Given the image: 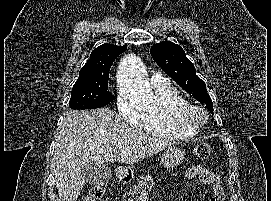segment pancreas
Wrapping results in <instances>:
<instances>
[{"instance_id":"pancreas-1","label":"pancreas","mask_w":271,"mask_h":201,"mask_svg":"<svg viewBox=\"0 0 271 201\" xmlns=\"http://www.w3.org/2000/svg\"><path fill=\"white\" fill-rule=\"evenodd\" d=\"M148 183H154L153 177L149 173L141 175L135 185L126 194L129 197V201H136L138 195L142 190L146 189Z\"/></svg>"}]
</instances>
